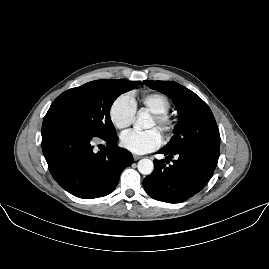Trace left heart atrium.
Returning <instances> with one entry per match:
<instances>
[{
  "label": "left heart atrium",
  "mask_w": 269,
  "mask_h": 269,
  "mask_svg": "<svg viewBox=\"0 0 269 269\" xmlns=\"http://www.w3.org/2000/svg\"><path fill=\"white\" fill-rule=\"evenodd\" d=\"M163 138L156 130L147 132L128 131L120 136L121 146L134 154H145L161 146Z\"/></svg>",
  "instance_id": "obj_1"
}]
</instances>
